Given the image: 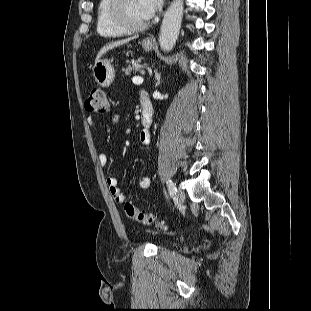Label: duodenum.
I'll return each mask as SVG.
<instances>
[{
	"label": "duodenum",
	"instance_id": "duodenum-1",
	"mask_svg": "<svg viewBox=\"0 0 311 311\" xmlns=\"http://www.w3.org/2000/svg\"><path fill=\"white\" fill-rule=\"evenodd\" d=\"M142 104V116L141 121L146 128H149L152 124V103L149 97H143L141 100Z\"/></svg>",
	"mask_w": 311,
	"mask_h": 311
}]
</instances>
